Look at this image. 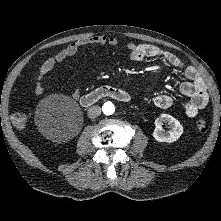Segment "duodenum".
<instances>
[{"label": "duodenum", "mask_w": 221, "mask_h": 221, "mask_svg": "<svg viewBox=\"0 0 221 221\" xmlns=\"http://www.w3.org/2000/svg\"><path fill=\"white\" fill-rule=\"evenodd\" d=\"M112 98L116 101L127 103L130 95L123 89L114 86H102L80 97V103L84 107L95 104L102 98Z\"/></svg>", "instance_id": "obj_1"}]
</instances>
